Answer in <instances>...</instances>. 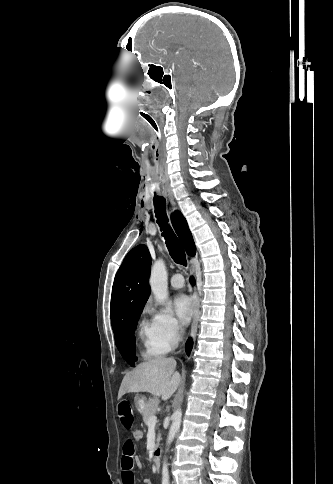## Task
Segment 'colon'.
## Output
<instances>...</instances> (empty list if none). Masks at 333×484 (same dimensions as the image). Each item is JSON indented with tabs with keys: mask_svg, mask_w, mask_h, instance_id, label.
I'll use <instances>...</instances> for the list:
<instances>
[{
	"mask_svg": "<svg viewBox=\"0 0 333 484\" xmlns=\"http://www.w3.org/2000/svg\"><path fill=\"white\" fill-rule=\"evenodd\" d=\"M133 439L135 441H141L144 437V432L141 429H135L132 433Z\"/></svg>",
	"mask_w": 333,
	"mask_h": 484,
	"instance_id": "1",
	"label": "colon"
}]
</instances>
